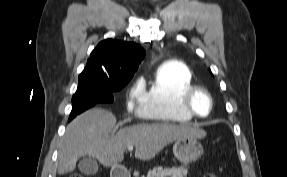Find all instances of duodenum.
Listing matches in <instances>:
<instances>
[{
	"label": "duodenum",
	"mask_w": 287,
	"mask_h": 177,
	"mask_svg": "<svg viewBox=\"0 0 287 177\" xmlns=\"http://www.w3.org/2000/svg\"><path fill=\"white\" fill-rule=\"evenodd\" d=\"M112 177H129V174L124 167H117L113 170Z\"/></svg>",
	"instance_id": "obj_1"
}]
</instances>
